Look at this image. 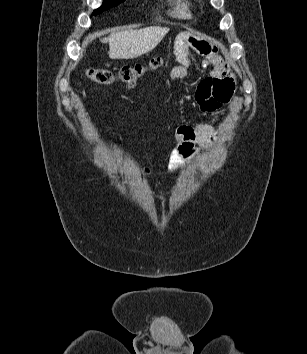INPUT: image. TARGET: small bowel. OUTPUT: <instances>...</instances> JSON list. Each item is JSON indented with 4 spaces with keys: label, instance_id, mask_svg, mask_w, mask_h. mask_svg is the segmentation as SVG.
I'll return each mask as SVG.
<instances>
[{
    "label": "small bowel",
    "instance_id": "small-bowel-1",
    "mask_svg": "<svg viewBox=\"0 0 307 354\" xmlns=\"http://www.w3.org/2000/svg\"><path fill=\"white\" fill-rule=\"evenodd\" d=\"M190 50L200 54L204 66L211 68L210 75L200 82L194 97L201 110L213 112L231 99L234 78L213 44L194 37H185L178 40L175 45L177 65L170 72L172 81H183L187 78L192 63ZM174 138L176 146L170 156L169 169L175 174L181 170L183 160H190L196 156L199 147L206 149L214 144L217 139V127L209 123L181 124L177 126ZM145 172L148 173L149 170L146 169Z\"/></svg>",
    "mask_w": 307,
    "mask_h": 354
}]
</instances>
